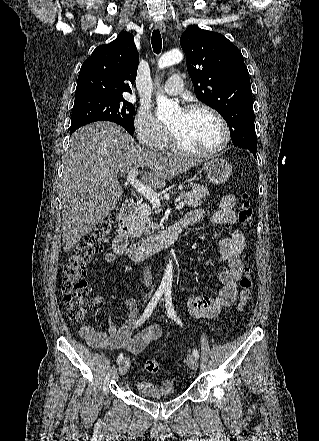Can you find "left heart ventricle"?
Here are the masks:
<instances>
[{
    "instance_id": "obj_1",
    "label": "left heart ventricle",
    "mask_w": 319,
    "mask_h": 441,
    "mask_svg": "<svg viewBox=\"0 0 319 441\" xmlns=\"http://www.w3.org/2000/svg\"><path fill=\"white\" fill-rule=\"evenodd\" d=\"M179 142L193 151H207L218 146L223 131L217 119L204 110L176 112L167 123Z\"/></svg>"
}]
</instances>
